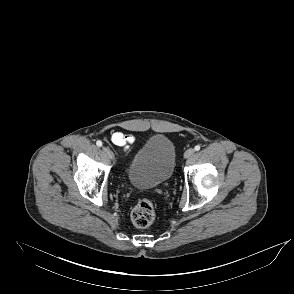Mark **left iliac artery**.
I'll return each mask as SVG.
<instances>
[{"label":"left iliac artery","mask_w":294,"mask_h":294,"mask_svg":"<svg viewBox=\"0 0 294 294\" xmlns=\"http://www.w3.org/2000/svg\"><path fill=\"white\" fill-rule=\"evenodd\" d=\"M200 148H201L200 145H196L194 149H195L196 151H199Z\"/></svg>","instance_id":"obj_1"}]
</instances>
